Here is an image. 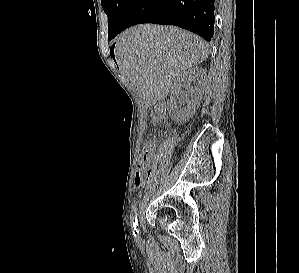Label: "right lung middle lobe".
Wrapping results in <instances>:
<instances>
[{
	"instance_id": "right-lung-middle-lobe-1",
	"label": "right lung middle lobe",
	"mask_w": 299,
	"mask_h": 273,
	"mask_svg": "<svg viewBox=\"0 0 299 273\" xmlns=\"http://www.w3.org/2000/svg\"><path fill=\"white\" fill-rule=\"evenodd\" d=\"M134 0H101L104 12L108 16V38L113 39Z\"/></svg>"
}]
</instances>
